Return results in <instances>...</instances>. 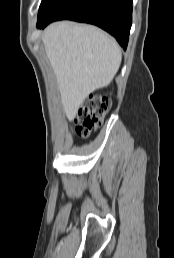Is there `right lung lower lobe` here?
Here are the masks:
<instances>
[{
	"instance_id": "98d812e1",
	"label": "right lung lower lobe",
	"mask_w": 174,
	"mask_h": 258,
	"mask_svg": "<svg viewBox=\"0 0 174 258\" xmlns=\"http://www.w3.org/2000/svg\"><path fill=\"white\" fill-rule=\"evenodd\" d=\"M74 20L96 25L126 49L132 24V0H63L38 27L56 20Z\"/></svg>"
}]
</instances>
